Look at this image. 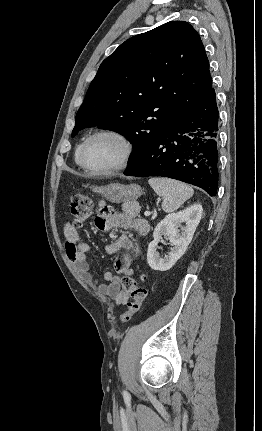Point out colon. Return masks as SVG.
Returning a JSON list of instances; mask_svg holds the SVG:
<instances>
[{
	"instance_id": "colon-1",
	"label": "colon",
	"mask_w": 262,
	"mask_h": 431,
	"mask_svg": "<svg viewBox=\"0 0 262 431\" xmlns=\"http://www.w3.org/2000/svg\"><path fill=\"white\" fill-rule=\"evenodd\" d=\"M70 217L72 225L81 228L92 214V204L90 198L77 191L70 197ZM111 209L106 208V213H110ZM141 281H145L146 277L141 276ZM121 290L127 297V310L120 316L121 322H129L132 316L141 310L142 304L147 296V289L139 284L133 277H124L121 280Z\"/></svg>"
}]
</instances>
